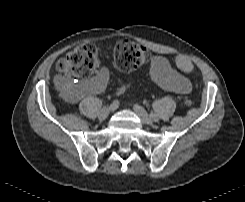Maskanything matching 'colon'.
I'll list each match as a JSON object with an SVG mask.
<instances>
[{"mask_svg":"<svg viewBox=\"0 0 245 202\" xmlns=\"http://www.w3.org/2000/svg\"><path fill=\"white\" fill-rule=\"evenodd\" d=\"M114 58L117 67L130 72L145 66L149 61L148 50L131 39H121L114 47ZM98 67V56L92 44H83L65 56L61 57L56 63L59 73L61 92L65 96L71 92L75 85V79L88 77L95 73ZM185 72L190 71L188 62L181 65ZM193 101L189 98L184 100L186 106H191Z\"/></svg>","mask_w":245,"mask_h":202,"instance_id":"5ec220e1","label":"colon"}]
</instances>
